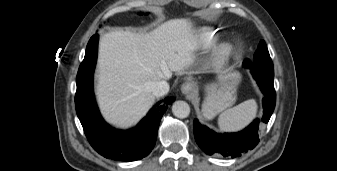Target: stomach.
<instances>
[{
  "label": "stomach",
  "instance_id": "obj_1",
  "mask_svg": "<svg viewBox=\"0 0 337 171\" xmlns=\"http://www.w3.org/2000/svg\"><path fill=\"white\" fill-rule=\"evenodd\" d=\"M239 81V73L229 71L220 76V84L207 87V96L202 105V113L206 119H211L235 103L236 86Z\"/></svg>",
  "mask_w": 337,
  "mask_h": 171
}]
</instances>
